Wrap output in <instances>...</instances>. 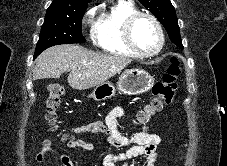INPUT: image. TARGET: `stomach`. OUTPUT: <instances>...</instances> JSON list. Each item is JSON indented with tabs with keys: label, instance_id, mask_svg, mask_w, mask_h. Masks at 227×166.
I'll use <instances>...</instances> for the list:
<instances>
[{
	"label": "stomach",
	"instance_id": "0dacf381",
	"mask_svg": "<svg viewBox=\"0 0 227 166\" xmlns=\"http://www.w3.org/2000/svg\"><path fill=\"white\" fill-rule=\"evenodd\" d=\"M153 84V77L145 70L133 68L124 71L118 79L117 89L127 95H139L147 92ZM116 94V87L111 82L96 86L89 95L95 101L106 100Z\"/></svg>",
	"mask_w": 227,
	"mask_h": 166
}]
</instances>
